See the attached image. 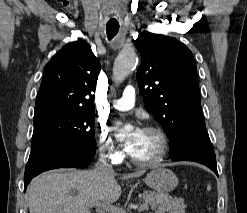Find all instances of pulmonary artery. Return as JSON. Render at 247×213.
I'll return each mask as SVG.
<instances>
[{
    "mask_svg": "<svg viewBox=\"0 0 247 213\" xmlns=\"http://www.w3.org/2000/svg\"><path fill=\"white\" fill-rule=\"evenodd\" d=\"M135 95V88L133 86H127L124 89L123 96L113 101V107L121 111L130 110L135 105Z\"/></svg>",
    "mask_w": 247,
    "mask_h": 213,
    "instance_id": "obj_1",
    "label": "pulmonary artery"
}]
</instances>
